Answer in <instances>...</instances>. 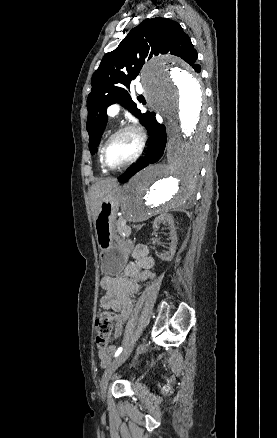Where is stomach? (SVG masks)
<instances>
[{"label": "stomach", "instance_id": "1", "mask_svg": "<svg viewBox=\"0 0 277 438\" xmlns=\"http://www.w3.org/2000/svg\"><path fill=\"white\" fill-rule=\"evenodd\" d=\"M121 198L122 190L118 186L108 191L102 199L94 222L101 269L105 275H118L128 260V245L118 236L116 230V215Z\"/></svg>", "mask_w": 277, "mask_h": 438}]
</instances>
